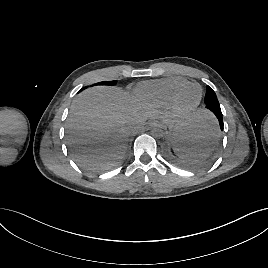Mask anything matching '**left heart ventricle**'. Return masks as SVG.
Here are the masks:
<instances>
[{
	"mask_svg": "<svg viewBox=\"0 0 268 268\" xmlns=\"http://www.w3.org/2000/svg\"><path fill=\"white\" fill-rule=\"evenodd\" d=\"M199 97V90L196 87L188 89L181 97L180 103L184 107L193 105Z\"/></svg>",
	"mask_w": 268,
	"mask_h": 268,
	"instance_id": "obj_1",
	"label": "left heart ventricle"
}]
</instances>
